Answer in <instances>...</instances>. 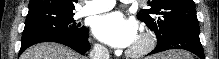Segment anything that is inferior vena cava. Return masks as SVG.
Returning a JSON list of instances; mask_svg holds the SVG:
<instances>
[{
    "label": "inferior vena cava",
    "instance_id": "inferior-vena-cava-1",
    "mask_svg": "<svg viewBox=\"0 0 219 59\" xmlns=\"http://www.w3.org/2000/svg\"><path fill=\"white\" fill-rule=\"evenodd\" d=\"M89 59H109V51L100 44H95L89 54Z\"/></svg>",
    "mask_w": 219,
    "mask_h": 59
}]
</instances>
